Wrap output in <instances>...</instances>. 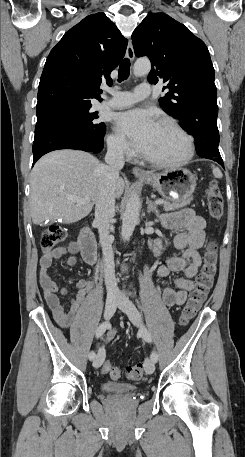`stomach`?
Returning <instances> with one entry per match:
<instances>
[{"label":"stomach","mask_w":245,"mask_h":457,"mask_svg":"<svg viewBox=\"0 0 245 457\" xmlns=\"http://www.w3.org/2000/svg\"><path fill=\"white\" fill-rule=\"evenodd\" d=\"M152 180L140 178L146 184H152L164 198L176 202L187 200L193 194L196 186V176L188 168H165L162 172H154Z\"/></svg>","instance_id":"0dacf381"}]
</instances>
